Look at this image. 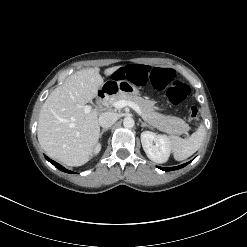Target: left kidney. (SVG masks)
Returning <instances> with one entry per match:
<instances>
[{
    "label": "left kidney",
    "mask_w": 247,
    "mask_h": 247,
    "mask_svg": "<svg viewBox=\"0 0 247 247\" xmlns=\"http://www.w3.org/2000/svg\"><path fill=\"white\" fill-rule=\"evenodd\" d=\"M142 147L147 157L156 163H165L171 152V142L166 135L150 131L141 133Z\"/></svg>",
    "instance_id": "left-kidney-1"
}]
</instances>
